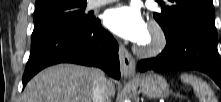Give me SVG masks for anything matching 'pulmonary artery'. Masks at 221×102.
I'll list each match as a JSON object with an SVG mask.
<instances>
[{"instance_id": "e3ab8cb5", "label": "pulmonary artery", "mask_w": 221, "mask_h": 102, "mask_svg": "<svg viewBox=\"0 0 221 102\" xmlns=\"http://www.w3.org/2000/svg\"><path fill=\"white\" fill-rule=\"evenodd\" d=\"M115 1H117V0H90L89 6L91 8H96V7H99V6L108 4V3H112Z\"/></svg>"}]
</instances>
